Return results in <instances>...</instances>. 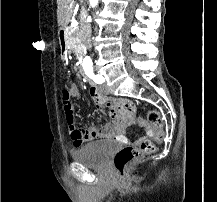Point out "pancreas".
<instances>
[{
	"label": "pancreas",
	"instance_id": "1",
	"mask_svg": "<svg viewBox=\"0 0 217 202\" xmlns=\"http://www.w3.org/2000/svg\"><path fill=\"white\" fill-rule=\"evenodd\" d=\"M73 28L70 26L68 30H72ZM81 44V34H79V30H74L69 38V46L71 48V52H76L78 48H80Z\"/></svg>",
	"mask_w": 217,
	"mask_h": 202
}]
</instances>
